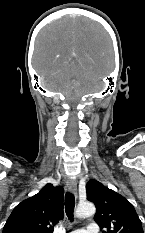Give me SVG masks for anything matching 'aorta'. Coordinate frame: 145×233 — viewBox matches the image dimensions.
Returning <instances> with one entry per match:
<instances>
[{"label":"aorta","mask_w":145,"mask_h":233,"mask_svg":"<svg viewBox=\"0 0 145 233\" xmlns=\"http://www.w3.org/2000/svg\"><path fill=\"white\" fill-rule=\"evenodd\" d=\"M95 212L96 208L94 204L91 202H85L78 205L75 214L78 218H86L93 216Z\"/></svg>","instance_id":"1"}]
</instances>
